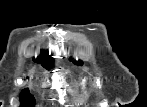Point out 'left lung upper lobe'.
<instances>
[{
    "instance_id": "obj_1",
    "label": "left lung upper lobe",
    "mask_w": 147,
    "mask_h": 107,
    "mask_svg": "<svg viewBox=\"0 0 147 107\" xmlns=\"http://www.w3.org/2000/svg\"><path fill=\"white\" fill-rule=\"evenodd\" d=\"M74 64H77V65H82V61H74Z\"/></svg>"
}]
</instances>
